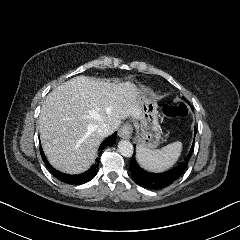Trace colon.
I'll return each instance as SVG.
<instances>
[{
  "label": "colon",
  "instance_id": "obj_1",
  "mask_svg": "<svg viewBox=\"0 0 240 240\" xmlns=\"http://www.w3.org/2000/svg\"><path fill=\"white\" fill-rule=\"evenodd\" d=\"M189 113V106L186 103L178 105H167L164 107V114L169 117L183 118Z\"/></svg>",
  "mask_w": 240,
  "mask_h": 240
}]
</instances>
